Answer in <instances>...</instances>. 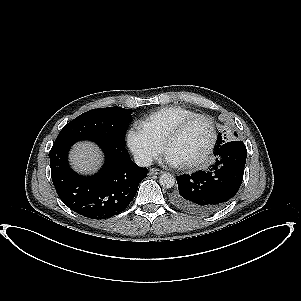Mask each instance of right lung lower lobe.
<instances>
[{
  "instance_id": "right-lung-lower-lobe-1",
  "label": "right lung lower lobe",
  "mask_w": 301,
  "mask_h": 301,
  "mask_svg": "<svg viewBox=\"0 0 301 301\" xmlns=\"http://www.w3.org/2000/svg\"><path fill=\"white\" fill-rule=\"evenodd\" d=\"M87 140L104 152L103 168L92 176L76 174L67 156L72 144L79 140L54 142L50 150L53 184L60 199L74 212L91 219H107L129 205L148 169L133 163L125 146L103 139Z\"/></svg>"
}]
</instances>
